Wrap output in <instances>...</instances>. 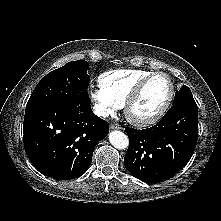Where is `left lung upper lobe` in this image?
I'll return each mask as SVG.
<instances>
[{
    "mask_svg": "<svg viewBox=\"0 0 221 221\" xmlns=\"http://www.w3.org/2000/svg\"><path fill=\"white\" fill-rule=\"evenodd\" d=\"M191 90L187 86H182L175 94V103L193 102Z\"/></svg>",
    "mask_w": 221,
    "mask_h": 221,
    "instance_id": "5c2ea615",
    "label": "left lung upper lobe"
}]
</instances>
